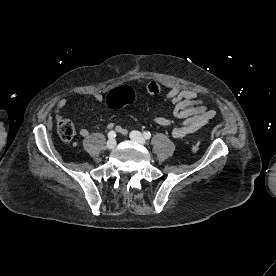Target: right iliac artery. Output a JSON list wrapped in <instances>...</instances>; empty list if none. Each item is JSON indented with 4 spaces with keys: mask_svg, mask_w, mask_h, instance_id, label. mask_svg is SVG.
<instances>
[{
    "mask_svg": "<svg viewBox=\"0 0 276 276\" xmlns=\"http://www.w3.org/2000/svg\"><path fill=\"white\" fill-rule=\"evenodd\" d=\"M108 137H109V138H115V137H116L115 131H110V132L108 133Z\"/></svg>",
    "mask_w": 276,
    "mask_h": 276,
    "instance_id": "82829eb1",
    "label": "right iliac artery"
}]
</instances>
